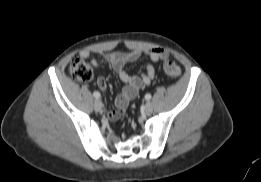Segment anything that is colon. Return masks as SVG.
Returning a JSON list of instances; mask_svg holds the SVG:
<instances>
[{"instance_id": "colon-1", "label": "colon", "mask_w": 261, "mask_h": 182, "mask_svg": "<svg viewBox=\"0 0 261 182\" xmlns=\"http://www.w3.org/2000/svg\"><path fill=\"white\" fill-rule=\"evenodd\" d=\"M164 71L172 78H178L181 74L179 66L169 59L164 60ZM69 72L75 80L81 82L90 81L93 77L91 64L79 55L72 57L69 64Z\"/></svg>"}]
</instances>
